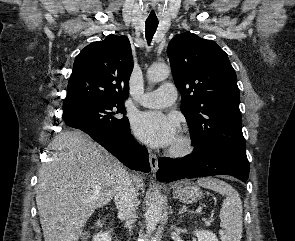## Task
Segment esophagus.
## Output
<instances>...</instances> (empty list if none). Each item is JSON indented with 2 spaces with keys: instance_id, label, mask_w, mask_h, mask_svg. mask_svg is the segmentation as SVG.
I'll return each instance as SVG.
<instances>
[{
  "instance_id": "34e87169",
  "label": "esophagus",
  "mask_w": 295,
  "mask_h": 241,
  "mask_svg": "<svg viewBox=\"0 0 295 241\" xmlns=\"http://www.w3.org/2000/svg\"><path fill=\"white\" fill-rule=\"evenodd\" d=\"M149 163H150L151 171L153 173H156L158 170V158L156 154L149 152Z\"/></svg>"
}]
</instances>
